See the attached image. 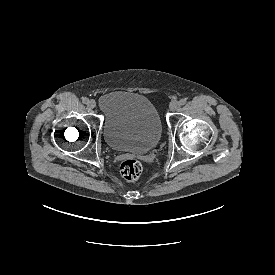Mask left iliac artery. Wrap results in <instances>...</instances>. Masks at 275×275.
<instances>
[{"label": "left iliac artery", "instance_id": "1", "mask_svg": "<svg viewBox=\"0 0 275 275\" xmlns=\"http://www.w3.org/2000/svg\"><path fill=\"white\" fill-rule=\"evenodd\" d=\"M179 103H180V105H185V104H186V99H181V100L179 101Z\"/></svg>", "mask_w": 275, "mask_h": 275}]
</instances>
